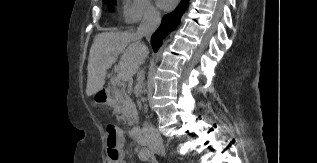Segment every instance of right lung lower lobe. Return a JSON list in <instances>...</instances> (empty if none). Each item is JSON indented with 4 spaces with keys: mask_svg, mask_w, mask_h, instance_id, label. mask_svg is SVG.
Wrapping results in <instances>:
<instances>
[{
    "mask_svg": "<svg viewBox=\"0 0 317 163\" xmlns=\"http://www.w3.org/2000/svg\"><path fill=\"white\" fill-rule=\"evenodd\" d=\"M189 0H182L179 6L170 14L163 17L159 29L152 35L151 43L154 51L160 47L162 39L166 37L180 22L181 16L188 6Z\"/></svg>",
    "mask_w": 317,
    "mask_h": 163,
    "instance_id": "right-lung-lower-lobe-1",
    "label": "right lung lower lobe"
}]
</instances>
